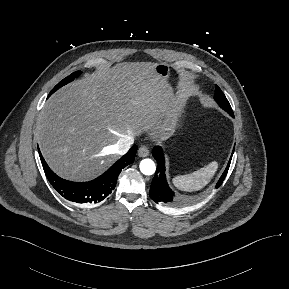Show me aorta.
Returning a JSON list of instances; mask_svg holds the SVG:
<instances>
[{
  "mask_svg": "<svg viewBox=\"0 0 289 289\" xmlns=\"http://www.w3.org/2000/svg\"><path fill=\"white\" fill-rule=\"evenodd\" d=\"M156 170V166L153 160L151 159H143L140 162V171L144 175H152Z\"/></svg>",
  "mask_w": 289,
  "mask_h": 289,
  "instance_id": "aorta-1",
  "label": "aorta"
}]
</instances>
